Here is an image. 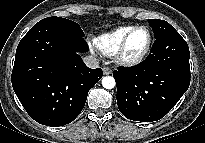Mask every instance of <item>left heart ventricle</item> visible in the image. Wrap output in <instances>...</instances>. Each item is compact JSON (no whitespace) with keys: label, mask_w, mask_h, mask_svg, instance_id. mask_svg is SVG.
<instances>
[{"label":"left heart ventricle","mask_w":205,"mask_h":143,"mask_svg":"<svg viewBox=\"0 0 205 143\" xmlns=\"http://www.w3.org/2000/svg\"><path fill=\"white\" fill-rule=\"evenodd\" d=\"M148 42V34L144 29L136 30L130 37L127 48L126 56L134 58L139 56L145 49Z\"/></svg>","instance_id":"obj_1"}]
</instances>
